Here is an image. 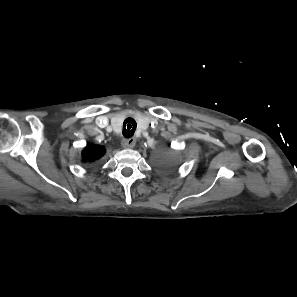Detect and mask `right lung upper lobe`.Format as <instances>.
Wrapping results in <instances>:
<instances>
[{"label": "right lung upper lobe", "mask_w": 297, "mask_h": 297, "mask_svg": "<svg viewBox=\"0 0 297 297\" xmlns=\"http://www.w3.org/2000/svg\"><path fill=\"white\" fill-rule=\"evenodd\" d=\"M105 153V149L99 145H89L83 152V161L95 162Z\"/></svg>", "instance_id": "cb5924a9"}]
</instances>
